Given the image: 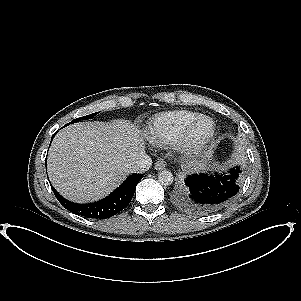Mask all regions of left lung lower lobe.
Here are the masks:
<instances>
[{
  "instance_id": "left-lung-lower-lobe-1",
  "label": "left lung lower lobe",
  "mask_w": 301,
  "mask_h": 301,
  "mask_svg": "<svg viewBox=\"0 0 301 301\" xmlns=\"http://www.w3.org/2000/svg\"><path fill=\"white\" fill-rule=\"evenodd\" d=\"M243 181L239 167L227 175L201 173L188 175L175 194L181 207L199 214L218 211L231 203L237 196Z\"/></svg>"
}]
</instances>
